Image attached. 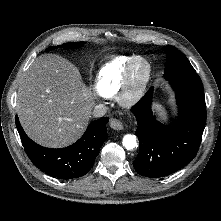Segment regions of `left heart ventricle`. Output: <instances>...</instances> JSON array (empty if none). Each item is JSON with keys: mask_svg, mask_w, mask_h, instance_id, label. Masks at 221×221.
<instances>
[{"mask_svg": "<svg viewBox=\"0 0 221 221\" xmlns=\"http://www.w3.org/2000/svg\"><path fill=\"white\" fill-rule=\"evenodd\" d=\"M146 73V66L143 62H138L133 70L132 81L134 85H138L144 78Z\"/></svg>", "mask_w": 221, "mask_h": 221, "instance_id": "obj_1", "label": "left heart ventricle"}]
</instances>
